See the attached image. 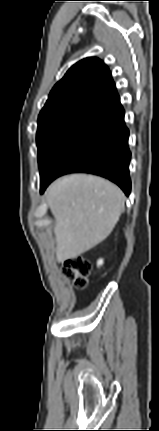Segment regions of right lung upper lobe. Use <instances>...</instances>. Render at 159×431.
Returning <instances> with one entry per match:
<instances>
[{"label":"right lung upper lobe","mask_w":159,"mask_h":431,"mask_svg":"<svg viewBox=\"0 0 159 431\" xmlns=\"http://www.w3.org/2000/svg\"><path fill=\"white\" fill-rule=\"evenodd\" d=\"M119 105L108 67L90 57L74 64L53 87L38 119L70 116L88 121Z\"/></svg>","instance_id":"right-lung-upper-lobe-1"}]
</instances>
